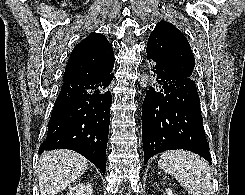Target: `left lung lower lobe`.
Instances as JSON below:
<instances>
[{
  "label": "left lung lower lobe",
  "instance_id": "1",
  "mask_svg": "<svg viewBox=\"0 0 245 195\" xmlns=\"http://www.w3.org/2000/svg\"><path fill=\"white\" fill-rule=\"evenodd\" d=\"M155 84L142 106L144 164L165 150L192 151L211 163L195 82L151 65Z\"/></svg>",
  "mask_w": 245,
  "mask_h": 195
}]
</instances>
